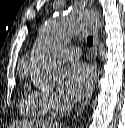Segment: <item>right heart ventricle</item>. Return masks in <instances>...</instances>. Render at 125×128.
<instances>
[{"mask_svg": "<svg viewBox=\"0 0 125 128\" xmlns=\"http://www.w3.org/2000/svg\"><path fill=\"white\" fill-rule=\"evenodd\" d=\"M21 112L36 119H46L51 115L45 101L38 91H25L20 99Z\"/></svg>", "mask_w": 125, "mask_h": 128, "instance_id": "right-heart-ventricle-1", "label": "right heart ventricle"}]
</instances>
